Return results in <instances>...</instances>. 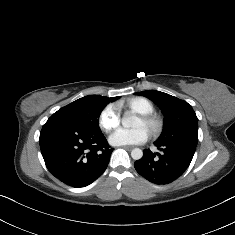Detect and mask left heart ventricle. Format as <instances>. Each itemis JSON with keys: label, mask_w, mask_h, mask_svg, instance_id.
I'll use <instances>...</instances> for the list:
<instances>
[{"label": "left heart ventricle", "mask_w": 235, "mask_h": 235, "mask_svg": "<svg viewBox=\"0 0 235 235\" xmlns=\"http://www.w3.org/2000/svg\"><path fill=\"white\" fill-rule=\"evenodd\" d=\"M135 127H136V128L144 127L142 121L140 120V118L137 120V122H136V124H135Z\"/></svg>", "instance_id": "1"}]
</instances>
